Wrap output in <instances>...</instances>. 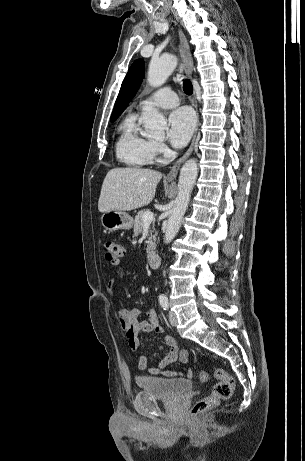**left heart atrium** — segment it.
<instances>
[{"instance_id":"left-heart-atrium-1","label":"left heart atrium","mask_w":305,"mask_h":461,"mask_svg":"<svg viewBox=\"0 0 305 461\" xmlns=\"http://www.w3.org/2000/svg\"><path fill=\"white\" fill-rule=\"evenodd\" d=\"M168 139L177 148L187 144L195 127V118L190 109L182 107L174 110L168 118Z\"/></svg>"}]
</instances>
